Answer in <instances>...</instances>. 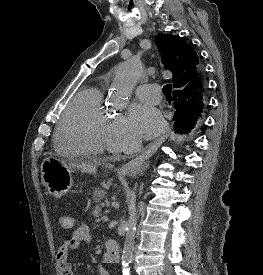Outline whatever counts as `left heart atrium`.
Returning a JSON list of instances; mask_svg holds the SVG:
<instances>
[{"mask_svg":"<svg viewBox=\"0 0 263 275\" xmlns=\"http://www.w3.org/2000/svg\"><path fill=\"white\" fill-rule=\"evenodd\" d=\"M130 131L140 138H152L159 134L164 127L160 112L148 104H134L129 111Z\"/></svg>","mask_w":263,"mask_h":275,"instance_id":"1","label":"left heart atrium"}]
</instances>
